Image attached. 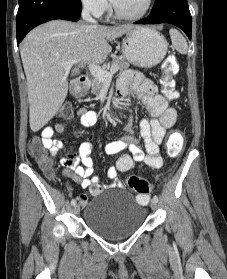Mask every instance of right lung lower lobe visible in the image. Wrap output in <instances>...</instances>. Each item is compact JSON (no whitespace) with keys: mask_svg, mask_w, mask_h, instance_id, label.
<instances>
[{"mask_svg":"<svg viewBox=\"0 0 227 279\" xmlns=\"http://www.w3.org/2000/svg\"><path fill=\"white\" fill-rule=\"evenodd\" d=\"M80 0H19L16 16L17 44L37 25L54 19L78 21Z\"/></svg>","mask_w":227,"mask_h":279,"instance_id":"right-lung-lower-lobe-1","label":"right lung lower lobe"}]
</instances>
